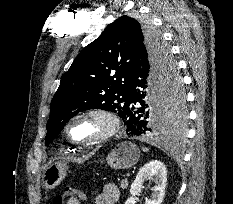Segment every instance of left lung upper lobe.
<instances>
[{"instance_id": "left-lung-upper-lobe-1", "label": "left lung upper lobe", "mask_w": 233, "mask_h": 204, "mask_svg": "<svg viewBox=\"0 0 233 204\" xmlns=\"http://www.w3.org/2000/svg\"><path fill=\"white\" fill-rule=\"evenodd\" d=\"M166 91L164 128L178 127L186 117L181 79L170 85L176 63L161 36L136 19L123 15L76 57L50 105L45 144L48 145L76 113L88 109L113 111L123 118L129 98L130 70L140 51Z\"/></svg>"}]
</instances>
